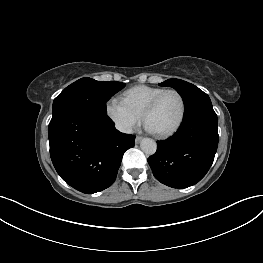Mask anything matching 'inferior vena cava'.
Listing matches in <instances>:
<instances>
[{
  "label": "inferior vena cava",
  "instance_id": "602c4592",
  "mask_svg": "<svg viewBox=\"0 0 263 263\" xmlns=\"http://www.w3.org/2000/svg\"><path fill=\"white\" fill-rule=\"evenodd\" d=\"M117 129L123 133L131 134L133 132L130 126H118Z\"/></svg>",
  "mask_w": 263,
  "mask_h": 263
}]
</instances>
